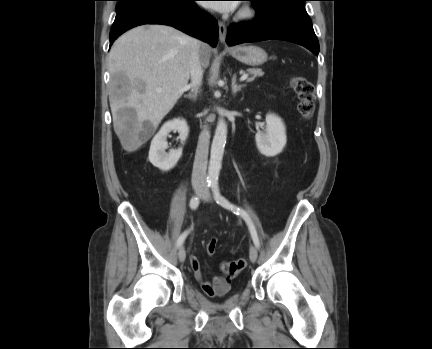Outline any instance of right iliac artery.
Listing matches in <instances>:
<instances>
[{"instance_id": "right-iliac-artery-1", "label": "right iliac artery", "mask_w": 432, "mask_h": 349, "mask_svg": "<svg viewBox=\"0 0 432 349\" xmlns=\"http://www.w3.org/2000/svg\"><path fill=\"white\" fill-rule=\"evenodd\" d=\"M210 186H211V184L208 183L207 187H210ZM199 202H200L199 201V197H196V196L192 197L191 200H190V204H189L190 208L193 209V210L197 209V207L199 206ZM188 233H189V230L183 232L179 236V238L177 240V247H180L183 244V242H184L185 238L187 237Z\"/></svg>"}]
</instances>
